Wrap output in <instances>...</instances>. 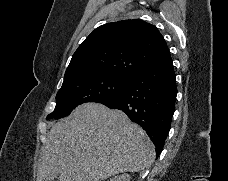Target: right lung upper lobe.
Masks as SVG:
<instances>
[{"instance_id":"right-lung-upper-lobe-1","label":"right lung upper lobe","mask_w":228,"mask_h":181,"mask_svg":"<svg viewBox=\"0 0 228 181\" xmlns=\"http://www.w3.org/2000/svg\"><path fill=\"white\" fill-rule=\"evenodd\" d=\"M170 56L158 29L142 20H122L95 29L73 54L63 84L111 74L133 77Z\"/></svg>"}]
</instances>
